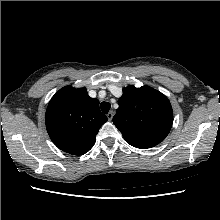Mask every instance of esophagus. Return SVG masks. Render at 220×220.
<instances>
[{
    "label": "esophagus",
    "mask_w": 220,
    "mask_h": 220,
    "mask_svg": "<svg viewBox=\"0 0 220 220\" xmlns=\"http://www.w3.org/2000/svg\"><path fill=\"white\" fill-rule=\"evenodd\" d=\"M113 116H114V112H113V111H110V112L107 114L108 120L111 121L112 118H113Z\"/></svg>",
    "instance_id": "esophagus-1"
}]
</instances>
